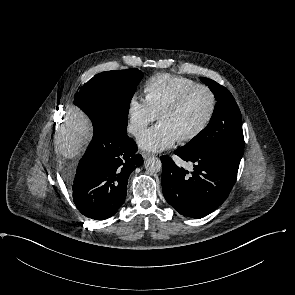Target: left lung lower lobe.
<instances>
[{
	"mask_svg": "<svg viewBox=\"0 0 295 295\" xmlns=\"http://www.w3.org/2000/svg\"><path fill=\"white\" fill-rule=\"evenodd\" d=\"M175 154L194 163L192 175L162 156V191L166 201L181 215L199 219L216 210L233 188L240 161L220 152Z\"/></svg>",
	"mask_w": 295,
	"mask_h": 295,
	"instance_id": "left-lung-lower-lobe-1",
	"label": "left lung lower lobe"
}]
</instances>
